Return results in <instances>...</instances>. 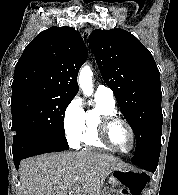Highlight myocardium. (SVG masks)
<instances>
[{
    "mask_svg": "<svg viewBox=\"0 0 178 195\" xmlns=\"http://www.w3.org/2000/svg\"><path fill=\"white\" fill-rule=\"evenodd\" d=\"M116 124H122L127 128L131 136V139H132V145L130 149L124 151V150H121L115 147L112 144L110 140V131L112 127ZM98 137L100 141L110 150L117 152V153H121V154L131 153L134 150L135 145H136V135H135L134 129L126 120L118 117L117 115H105L101 118L100 123H99V129H98Z\"/></svg>",
    "mask_w": 178,
    "mask_h": 195,
    "instance_id": "myocardium-1",
    "label": "myocardium"
}]
</instances>
